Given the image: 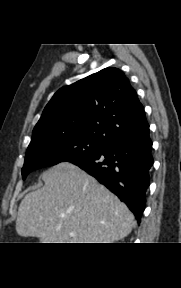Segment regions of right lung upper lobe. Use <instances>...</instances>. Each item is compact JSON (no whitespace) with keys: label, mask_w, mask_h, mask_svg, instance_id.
Returning <instances> with one entry per match:
<instances>
[{"label":"right lung upper lobe","mask_w":181,"mask_h":288,"mask_svg":"<svg viewBox=\"0 0 181 288\" xmlns=\"http://www.w3.org/2000/svg\"><path fill=\"white\" fill-rule=\"evenodd\" d=\"M62 135L92 137L105 146L149 137L144 107L121 70L102 69L54 94L31 141Z\"/></svg>","instance_id":"cb5924a9"}]
</instances>
